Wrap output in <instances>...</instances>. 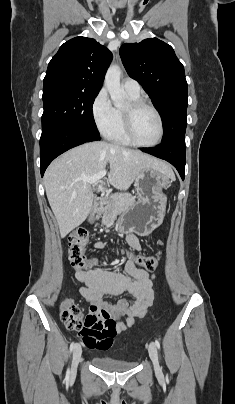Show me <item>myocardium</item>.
<instances>
[{
    "instance_id": "f54148a6",
    "label": "myocardium",
    "mask_w": 235,
    "mask_h": 404,
    "mask_svg": "<svg viewBox=\"0 0 235 404\" xmlns=\"http://www.w3.org/2000/svg\"><path fill=\"white\" fill-rule=\"evenodd\" d=\"M143 108L150 109L156 115V117L158 119L159 135H158V138L152 143H141L136 139V137L134 135V130H133L134 117H135V114ZM122 114H123V126H124L125 134L133 145L138 146V147L148 148V147L157 146L162 141L163 136H164L163 119H162L160 112L152 104H150L146 101L140 100V99L133 100V101H130L129 104L122 110Z\"/></svg>"
}]
</instances>
